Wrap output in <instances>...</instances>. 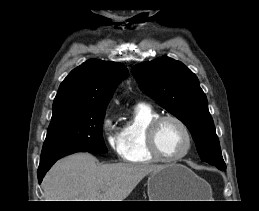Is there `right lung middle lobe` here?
I'll return each mask as SVG.
<instances>
[{"mask_svg": "<svg viewBox=\"0 0 259 211\" xmlns=\"http://www.w3.org/2000/svg\"><path fill=\"white\" fill-rule=\"evenodd\" d=\"M104 109L75 108L53 116L40 162L71 152L106 153L102 137Z\"/></svg>", "mask_w": 259, "mask_h": 211, "instance_id": "obj_1", "label": "right lung middle lobe"}]
</instances>
